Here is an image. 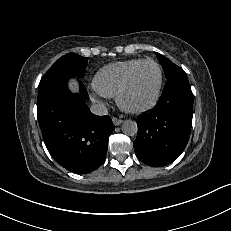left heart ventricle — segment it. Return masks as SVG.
Listing matches in <instances>:
<instances>
[{
	"mask_svg": "<svg viewBox=\"0 0 231 231\" xmlns=\"http://www.w3.org/2000/svg\"><path fill=\"white\" fill-rule=\"evenodd\" d=\"M159 80L157 67L152 63L141 66L124 95V102L129 107H140L153 97Z\"/></svg>",
	"mask_w": 231,
	"mask_h": 231,
	"instance_id": "b2bd125f",
	"label": "left heart ventricle"
}]
</instances>
